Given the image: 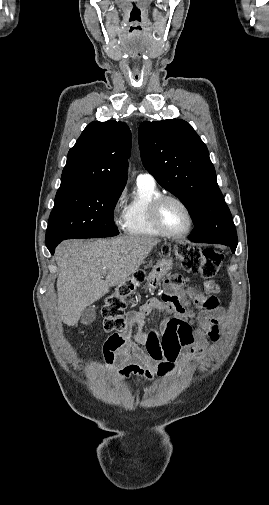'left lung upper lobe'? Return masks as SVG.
Listing matches in <instances>:
<instances>
[{
	"mask_svg": "<svg viewBox=\"0 0 269 505\" xmlns=\"http://www.w3.org/2000/svg\"><path fill=\"white\" fill-rule=\"evenodd\" d=\"M144 167L188 208L195 225L191 241L237 246L232 215L218 187L205 143L184 120L141 123Z\"/></svg>",
	"mask_w": 269,
	"mask_h": 505,
	"instance_id": "1",
	"label": "left lung upper lobe"
}]
</instances>
